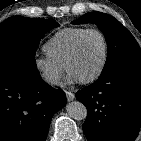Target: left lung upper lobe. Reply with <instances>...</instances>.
Wrapping results in <instances>:
<instances>
[{"instance_id": "1", "label": "left lung upper lobe", "mask_w": 141, "mask_h": 141, "mask_svg": "<svg viewBox=\"0 0 141 141\" xmlns=\"http://www.w3.org/2000/svg\"><path fill=\"white\" fill-rule=\"evenodd\" d=\"M95 23L104 33L108 55L101 77L125 67H141V49L132 34L115 18L101 12H91L72 22Z\"/></svg>"}]
</instances>
